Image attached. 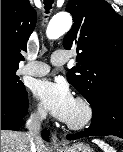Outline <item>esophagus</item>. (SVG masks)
Listing matches in <instances>:
<instances>
[{
	"mask_svg": "<svg viewBox=\"0 0 123 152\" xmlns=\"http://www.w3.org/2000/svg\"><path fill=\"white\" fill-rule=\"evenodd\" d=\"M51 145L53 147H61L62 146V142L60 141V139L57 137L56 134H52V136H51Z\"/></svg>",
	"mask_w": 123,
	"mask_h": 152,
	"instance_id": "obj_1",
	"label": "esophagus"
}]
</instances>
